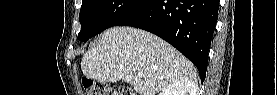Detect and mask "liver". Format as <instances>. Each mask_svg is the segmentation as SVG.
I'll use <instances>...</instances> for the list:
<instances>
[{
  "label": "liver",
  "instance_id": "liver-1",
  "mask_svg": "<svg viewBox=\"0 0 277 95\" xmlns=\"http://www.w3.org/2000/svg\"><path fill=\"white\" fill-rule=\"evenodd\" d=\"M81 69L100 82L122 80L139 95H157L177 81L193 83L198 92L197 71L187 58L154 34L132 27L104 31L83 55Z\"/></svg>",
  "mask_w": 277,
  "mask_h": 95
}]
</instances>
